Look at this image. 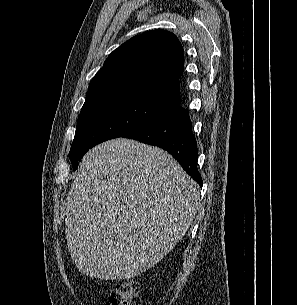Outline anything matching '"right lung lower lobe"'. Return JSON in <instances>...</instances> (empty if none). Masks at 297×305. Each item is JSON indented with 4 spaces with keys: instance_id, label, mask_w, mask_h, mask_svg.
Returning <instances> with one entry per match:
<instances>
[{
    "instance_id": "obj_1",
    "label": "right lung lower lobe",
    "mask_w": 297,
    "mask_h": 305,
    "mask_svg": "<svg viewBox=\"0 0 297 305\" xmlns=\"http://www.w3.org/2000/svg\"><path fill=\"white\" fill-rule=\"evenodd\" d=\"M123 137L165 149L202 186L197 169V142L189 114L181 105H174L166 113Z\"/></svg>"
}]
</instances>
